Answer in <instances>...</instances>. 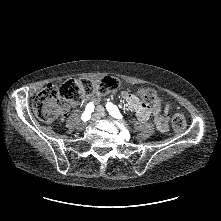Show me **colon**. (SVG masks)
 <instances>
[{
	"label": "colon",
	"mask_w": 221,
	"mask_h": 221,
	"mask_svg": "<svg viewBox=\"0 0 221 221\" xmlns=\"http://www.w3.org/2000/svg\"><path fill=\"white\" fill-rule=\"evenodd\" d=\"M119 81L113 77H103L92 80L87 78L70 79L64 85L49 84L43 88L33 101L35 115L45 124H51L62 111V102L78 104L84 97L90 95H104L115 90ZM139 96L153 107H159L161 100L155 91L148 88L138 90ZM172 125L176 132L182 133L186 129L184 116L176 112L172 115Z\"/></svg>",
	"instance_id": "1"
}]
</instances>
